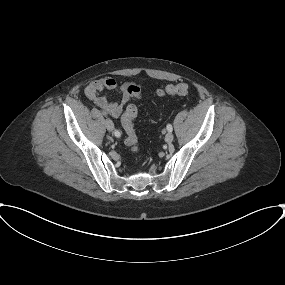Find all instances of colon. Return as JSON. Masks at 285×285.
<instances>
[{"instance_id": "obj_1", "label": "colon", "mask_w": 285, "mask_h": 285, "mask_svg": "<svg viewBox=\"0 0 285 285\" xmlns=\"http://www.w3.org/2000/svg\"><path fill=\"white\" fill-rule=\"evenodd\" d=\"M188 85L185 83H177L167 85L163 89H159L157 94L159 96L167 95H186L188 93ZM138 115V109L135 105H129L121 118L122 126L126 133L125 144L132 152L137 153L140 149L139 138L134 128V120Z\"/></svg>"}]
</instances>
